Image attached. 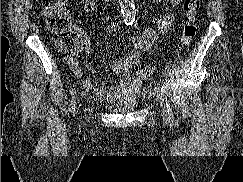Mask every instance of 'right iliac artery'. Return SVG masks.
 <instances>
[{
  "instance_id": "82829eb1",
  "label": "right iliac artery",
  "mask_w": 243,
  "mask_h": 182,
  "mask_svg": "<svg viewBox=\"0 0 243 182\" xmlns=\"http://www.w3.org/2000/svg\"><path fill=\"white\" fill-rule=\"evenodd\" d=\"M72 111H75V104L72 106Z\"/></svg>"
}]
</instances>
